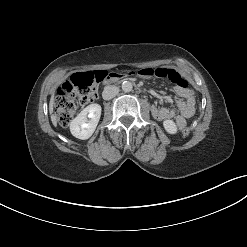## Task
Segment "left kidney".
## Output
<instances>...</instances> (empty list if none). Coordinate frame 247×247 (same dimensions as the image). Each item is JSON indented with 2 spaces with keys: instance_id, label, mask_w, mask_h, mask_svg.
<instances>
[{
  "instance_id": "left-kidney-1",
  "label": "left kidney",
  "mask_w": 247,
  "mask_h": 247,
  "mask_svg": "<svg viewBox=\"0 0 247 247\" xmlns=\"http://www.w3.org/2000/svg\"><path fill=\"white\" fill-rule=\"evenodd\" d=\"M163 126L169 134H176L177 133V126L173 120H169V119L164 120Z\"/></svg>"
}]
</instances>
